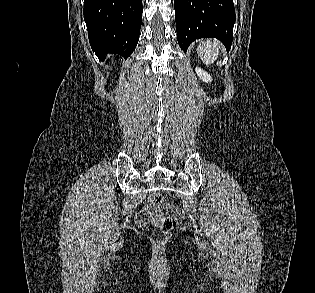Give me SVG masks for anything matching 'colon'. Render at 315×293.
Returning a JSON list of instances; mask_svg holds the SVG:
<instances>
[{
    "instance_id": "5ec220e1",
    "label": "colon",
    "mask_w": 315,
    "mask_h": 293,
    "mask_svg": "<svg viewBox=\"0 0 315 293\" xmlns=\"http://www.w3.org/2000/svg\"><path fill=\"white\" fill-rule=\"evenodd\" d=\"M149 202L152 205H163V196L159 193H154L149 197ZM165 209L168 213L172 215H181L180 210L175 204H168L165 206ZM155 226L162 233H169L175 228L176 220L171 216L161 217L155 222Z\"/></svg>"
}]
</instances>
